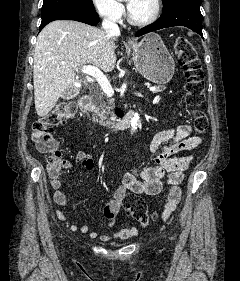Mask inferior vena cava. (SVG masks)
<instances>
[{
	"label": "inferior vena cava",
	"instance_id": "1",
	"mask_svg": "<svg viewBox=\"0 0 240 281\" xmlns=\"http://www.w3.org/2000/svg\"><path fill=\"white\" fill-rule=\"evenodd\" d=\"M102 27L107 35V37H115L120 35V29L118 25L115 23V21L111 19H104L102 22Z\"/></svg>",
	"mask_w": 240,
	"mask_h": 281
}]
</instances>
